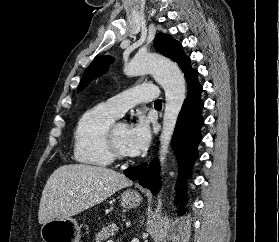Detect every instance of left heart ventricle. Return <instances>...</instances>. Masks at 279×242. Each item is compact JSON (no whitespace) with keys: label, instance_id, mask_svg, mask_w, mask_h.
Returning <instances> with one entry per match:
<instances>
[{"label":"left heart ventricle","instance_id":"obj_1","mask_svg":"<svg viewBox=\"0 0 279 242\" xmlns=\"http://www.w3.org/2000/svg\"><path fill=\"white\" fill-rule=\"evenodd\" d=\"M130 127L127 124H120L115 133V139L119 148L128 155L126 150V143L129 135Z\"/></svg>","mask_w":279,"mask_h":242}]
</instances>
